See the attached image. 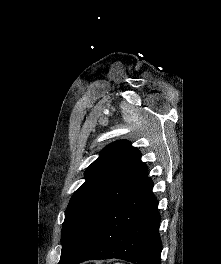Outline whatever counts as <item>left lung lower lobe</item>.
<instances>
[{"label":"left lung lower lobe","instance_id":"obj_1","mask_svg":"<svg viewBox=\"0 0 221 264\" xmlns=\"http://www.w3.org/2000/svg\"><path fill=\"white\" fill-rule=\"evenodd\" d=\"M146 178L58 264L118 258L134 264H161L160 215Z\"/></svg>","mask_w":221,"mask_h":264}]
</instances>
